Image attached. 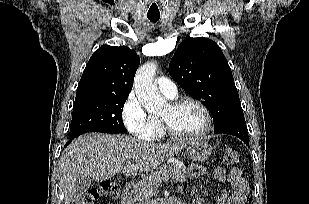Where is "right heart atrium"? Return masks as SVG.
Returning <instances> with one entry per match:
<instances>
[{
  "instance_id": "right-heart-atrium-1",
  "label": "right heart atrium",
  "mask_w": 309,
  "mask_h": 204,
  "mask_svg": "<svg viewBox=\"0 0 309 204\" xmlns=\"http://www.w3.org/2000/svg\"><path fill=\"white\" fill-rule=\"evenodd\" d=\"M122 119L127 130L135 137L152 140L158 135V124L149 115L134 92H131L122 106Z\"/></svg>"
}]
</instances>
